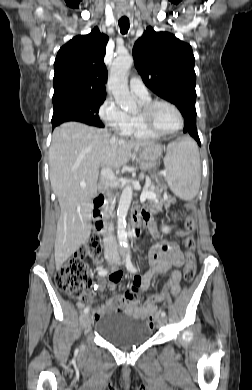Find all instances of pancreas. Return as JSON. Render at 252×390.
<instances>
[{"instance_id":"obj_1","label":"pancreas","mask_w":252,"mask_h":390,"mask_svg":"<svg viewBox=\"0 0 252 390\" xmlns=\"http://www.w3.org/2000/svg\"><path fill=\"white\" fill-rule=\"evenodd\" d=\"M174 202H175V200L170 198V197H165V200H162V202H152L151 203L152 209H149V212H150V214H152V216L157 217L158 213L160 212V210L162 209L163 206L165 208H168ZM152 210H155V211H152Z\"/></svg>"}]
</instances>
